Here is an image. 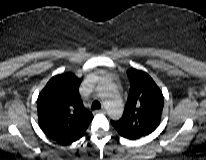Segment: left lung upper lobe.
Listing matches in <instances>:
<instances>
[{
	"label": "left lung upper lobe",
	"mask_w": 206,
	"mask_h": 160,
	"mask_svg": "<svg viewBox=\"0 0 206 160\" xmlns=\"http://www.w3.org/2000/svg\"><path fill=\"white\" fill-rule=\"evenodd\" d=\"M127 75L131 86L125 110L120 120L111 123L123 137L138 139L159 125L164 98L146 72L129 69Z\"/></svg>",
	"instance_id": "1"
}]
</instances>
